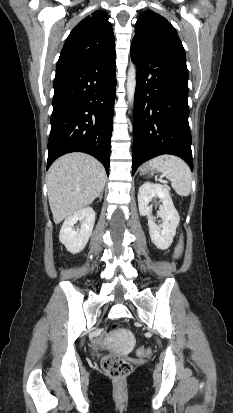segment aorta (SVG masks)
Masks as SVG:
<instances>
[{"label":"aorta","instance_id":"aorta-1","mask_svg":"<svg viewBox=\"0 0 233 413\" xmlns=\"http://www.w3.org/2000/svg\"><path fill=\"white\" fill-rule=\"evenodd\" d=\"M136 67L134 64H131L129 69H128V74H127V83H126V88H127V98L128 102L133 105L134 102V95H135V88H136Z\"/></svg>","mask_w":233,"mask_h":413}]
</instances>
